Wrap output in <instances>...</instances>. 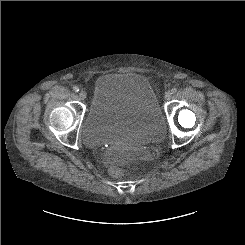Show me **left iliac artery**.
<instances>
[{
	"label": "left iliac artery",
	"mask_w": 245,
	"mask_h": 245,
	"mask_svg": "<svg viewBox=\"0 0 245 245\" xmlns=\"http://www.w3.org/2000/svg\"><path fill=\"white\" fill-rule=\"evenodd\" d=\"M177 92V89L176 88H172L171 89V94H175Z\"/></svg>",
	"instance_id": "left-iliac-artery-1"
}]
</instances>
